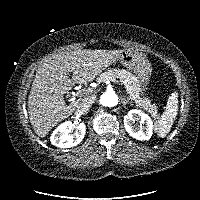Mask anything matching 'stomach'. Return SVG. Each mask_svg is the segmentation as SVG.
I'll return each instance as SVG.
<instances>
[{"instance_id":"obj_1","label":"stomach","mask_w":200,"mask_h":200,"mask_svg":"<svg viewBox=\"0 0 200 200\" xmlns=\"http://www.w3.org/2000/svg\"><path fill=\"white\" fill-rule=\"evenodd\" d=\"M117 60L137 76V90L139 94L143 93L145 90L142 87L147 84L152 71L146 55L137 50L124 49Z\"/></svg>"}]
</instances>
